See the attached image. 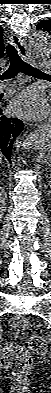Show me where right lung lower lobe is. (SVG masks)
<instances>
[{
  "mask_svg": "<svg viewBox=\"0 0 51 393\" xmlns=\"http://www.w3.org/2000/svg\"><path fill=\"white\" fill-rule=\"evenodd\" d=\"M22 129V121L18 118H9L5 116L0 107V154H4L9 162H11L14 140L20 134Z\"/></svg>",
  "mask_w": 51,
  "mask_h": 393,
  "instance_id": "1",
  "label": "right lung lower lobe"
}]
</instances>
